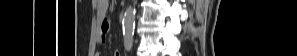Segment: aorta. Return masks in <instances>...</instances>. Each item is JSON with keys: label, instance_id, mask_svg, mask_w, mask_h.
<instances>
[{"label": "aorta", "instance_id": "aorta-1", "mask_svg": "<svg viewBox=\"0 0 297 56\" xmlns=\"http://www.w3.org/2000/svg\"><path fill=\"white\" fill-rule=\"evenodd\" d=\"M135 25V13L132 8H127L123 17V32L132 35Z\"/></svg>", "mask_w": 297, "mask_h": 56}]
</instances>
